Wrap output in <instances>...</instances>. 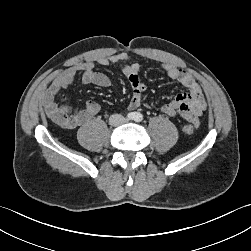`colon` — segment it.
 <instances>
[{
	"label": "colon",
	"mask_w": 251,
	"mask_h": 251,
	"mask_svg": "<svg viewBox=\"0 0 251 251\" xmlns=\"http://www.w3.org/2000/svg\"><path fill=\"white\" fill-rule=\"evenodd\" d=\"M56 123L60 124L63 127H69V119L62 114L55 115ZM184 132L186 134H192L194 132V127L192 125H186L184 127Z\"/></svg>",
	"instance_id": "colon-1"
}]
</instances>
